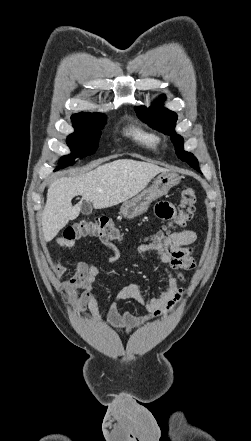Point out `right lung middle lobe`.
I'll list each match as a JSON object with an SVG mask.
<instances>
[{
  "instance_id": "obj_1",
  "label": "right lung middle lobe",
  "mask_w": 251,
  "mask_h": 441,
  "mask_svg": "<svg viewBox=\"0 0 251 441\" xmlns=\"http://www.w3.org/2000/svg\"><path fill=\"white\" fill-rule=\"evenodd\" d=\"M74 133L67 137V144L72 153L62 158L61 168L74 163L77 157H84L93 154L98 147L100 129L105 124V118L101 114L78 113L71 117ZM57 168L56 170H58Z\"/></svg>"
}]
</instances>
